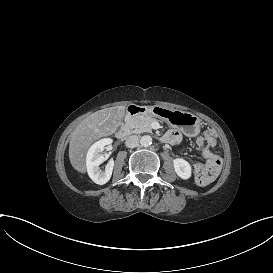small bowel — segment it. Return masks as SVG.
Returning <instances> with one entry per match:
<instances>
[{
    "instance_id": "small-bowel-1",
    "label": "small bowel",
    "mask_w": 273,
    "mask_h": 273,
    "mask_svg": "<svg viewBox=\"0 0 273 273\" xmlns=\"http://www.w3.org/2000/svg\"><path fill=\"white\" fill-rule=\"evenodd\" d=\"M176 139V133L175 132H169L167 135H165V140L170 141V142H174ZM200 141H206V144L208 146H213L215 144V137H214V132L212 130H206ZM202 157L204 159H206V165L205 166H209L210 163L214 160H220L215 154H213L210 150L205 149L202 152ZM201 167L196 166L195 168V172H198L200 170Z\"/></svg>"
}]
</instances>
